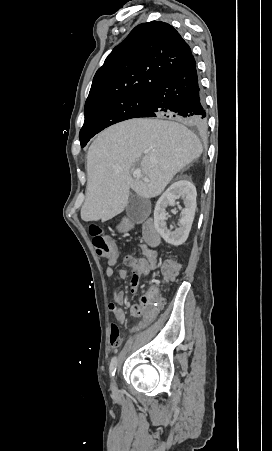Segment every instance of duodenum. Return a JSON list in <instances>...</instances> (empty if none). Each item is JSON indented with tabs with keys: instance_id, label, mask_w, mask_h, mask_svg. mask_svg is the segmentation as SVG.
I'll list each match as a JSON object with an SVG mask.
<instances>
[{
	"instance_id": "410a0bca",
	"label": "duodenum",
	"mask_w": 272,
	"mask_h": 451,
	"mask_svg": "<svg viewBox=\"0 0 272 451\" xmlns=\"http://www.w3.org/2000/svg\"><path fill=\"white\" fill-rule=\"evenodd\" d=\"M125 228H128L129 225L125 224ZM143 236L147 244L150 246H157L160 242V236L158 231L156 230L153 222L147 221L143 226Z\"/></svg>"
}]
</instances>
